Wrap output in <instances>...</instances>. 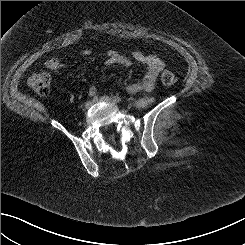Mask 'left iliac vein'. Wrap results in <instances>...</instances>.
I'll list each match as a JSON object with an SVG mask.
<instances>
[{"instance_id":"4c4485c4","label":"left iliac vein","mask_w":245,"mask_h":245,"mask_svg":"<svg viewBox=\"0 0 245 245\" xmlns=\"http://www.w3.org/2000/svg\"><path fill=\"white\" fill-rule=\"evenodd\" d=\"M99 101L101 102H106V103H111V104H116V101L108 96H102L99 98Z\"/></svg>"}]
</instances>
